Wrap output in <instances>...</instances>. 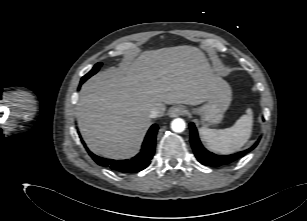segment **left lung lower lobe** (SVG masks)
<instances>
[{
	"label": "left lung lower lobe",
	"instance_id": "left-lung-lower-lobe-1",
	"mask_svg": "<svg viewBox=\"0 0 307 221\" xmlns=\"http://www.w3.org/2000/svg\"><path fill=\"white\" fill-rule=\"evenodd\" d=\"M190 133V142L197 160L203 165L212 167H219L237 161L253 150L259 142L257 141L251 148L233 155H215L203 147L199 140L197 129L193 123H190Z\"/></svg>",
	"mask_w": 307,
	"mask_h": 221
}]
</instances>
